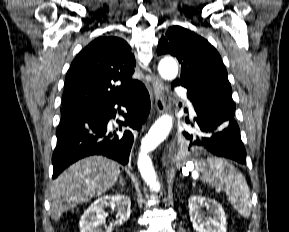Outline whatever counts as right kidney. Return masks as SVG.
Masks as SVG:
<instances>
[{"label": "right kidney", "mask_w": 289, "mask_h": 232, "mask_svg": "<svg viewBox=\"0 0 289 232\" xmlns=\"http://www.w3.org/2000/svg\"><path fill=\"white\" fill-rule=\"evenodd\" d=\"M108 206L117 208L118 221H125L130 217L131 201L129 197L119 193L105 195L94 201L84 211L79 222L80 232H112V226L105 227V230L101 228L104 209Z\"/></svg>", "instance_id": "right-kidney-1"}]
</instances>
